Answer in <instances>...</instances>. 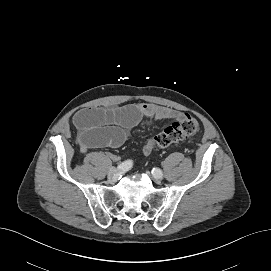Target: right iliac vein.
Listing matches in <instances>:
<instances>
[{"mask_svg":"<svg viewBox=\"0 0 271 271\" xmlns=\"http://www.w3.org/2000/svg\"><path fill=\"white\" fill-rule=\"evenodd\" d=\"M118 177V171L115 168H111L108 172V179L110 182H115Z\"/></svg>","mask_w":271,"mask_h":271,"instance_id":"63e3f726","label":"right iliac vein"}]
</instances>
